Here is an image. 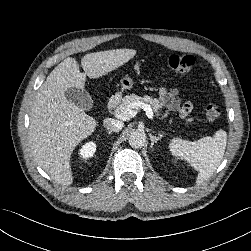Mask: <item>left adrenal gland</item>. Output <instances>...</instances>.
<instances>
[{"label":"left adrenal gland","instance_id":"left-adrenal-gland-1","mask_svg":"<svg viewBox=\"0 0 251 251\" xmlns=\"http://www.w3.org/2000/svg\"><path fill=\"white\" fill-rule=\"evenodd\" d=\"M149 136H150V140H151V147L154 145V143H157V141H159L162 138V134H159V136L156 137L150 133Z\"/></svg>","mask_w":251,"mask_h":251}]
</instances>
